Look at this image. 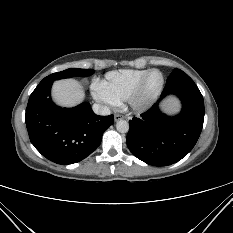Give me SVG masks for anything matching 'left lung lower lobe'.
Returning a JSON list of instances; mask_svg holds the SVG:
<instances>
[{
  "label": "left lung lower lobe",
  "instance_id": "left-lung-lower-lobe-1",
  "mask_svg": "<svg viewBox=\"0 0 233 233\" xmlns=\"http://www.w3.org/2000/svg\"><path fill=\"white\" fill-rule=\"evenodd\" d=\"M177 96L182 111L174 117L163 114L158 104L129 121L127 146L138 159L153 166H167L185 157L196 144L204 121V101L194 81L174 69L162 98Z\"/></svg>",
  "mask_w": 233,
  "mask_h": 233
}]
</instances>
